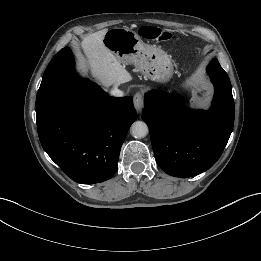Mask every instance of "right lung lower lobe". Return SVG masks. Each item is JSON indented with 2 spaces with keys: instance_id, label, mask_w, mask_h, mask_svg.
I'll use <instances>...</instances> for the list:
<instances>
[{
  "instance_id": "obj_1",
  "label": "right lung lower lobe",
  "mask_w": 261,
  "mask_h": 261,
  "mask_svg": "<svg viewBox=\"0 0 261 261\" xmlns=\"http://www.w3.org/2000/svg\"><path fill=\"white\" fill-rule=\"evenodd\" d=\"M137 113L132 97H107L75 72L64 75L36 99L42 147L72 180L93 184L118 170L121 146Z\"/></svg>"
}]
</instances>
